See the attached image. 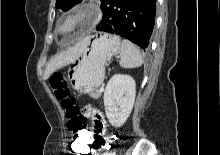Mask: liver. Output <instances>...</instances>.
<instances>
[{"label":"liver","mask_w":220,"mask_h":155,"mask_svg":"<svg viewBox=\"0 0 220 155\" xmlns=\"http://www.w3.org/2000/svg\"><path fill=\"white\" fill-rule=\"evenodd\" d=\"M87 44L85 39L82 43L71 47L59 55L55 56L46 66L44 72V79H48L49 76L56 70L62 68L63 66L74 62L83 52Z\"/></svg>","instance_id":"obj_1"}]
</instances>
